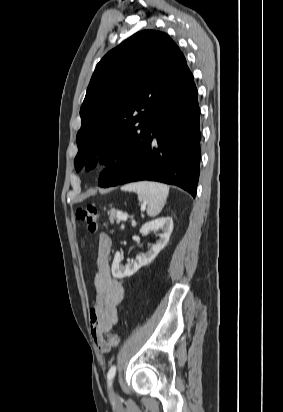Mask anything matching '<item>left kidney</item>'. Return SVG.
I'll use <instances>...</instances> for the list:
<instances>
[{"instance_id":"1","label":"left kidney","mask_w":283,"mask_h":412,"mask_svg":"<svg viewBox=\"0 0 283 412\" xmlns=\"http://www.w3.org/2000/svg\"><path fill=\"white\" fill-rule=\"evenodd\" d=\"M153 230H162V234H160L159 239L156 241V243L152 245L145 254L137 256L134 262L123 266L121 264L122 256L120 252H116L112 263L113 277L121 279L124 277L132 276L141 267L150 264L169 241L170 235L173 231L172 218L162 217L154 221L145 223L141 227L140 233L142 235H146Z\"/></svg>"}]
</instances>
